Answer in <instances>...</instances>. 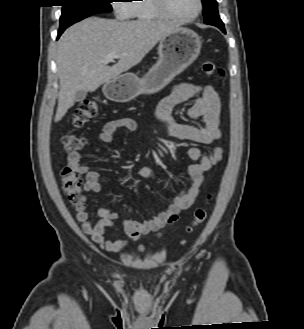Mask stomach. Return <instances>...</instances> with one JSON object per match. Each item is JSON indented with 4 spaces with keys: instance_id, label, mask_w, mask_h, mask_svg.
<instances>
[{
    "instance_id": "1",
    "label": "stomach",
    "mask_w": 304,
    "mask_h": 329,
    "mask_svg": "<svg viewBox=\"0 0 304 329\" xmlns=\"http://www.w3.org/2000/svg\"><path fill=\"white\" fill-rule=\"evenodd\" d=\"M200 49L199 35L178 27L160 40L159 59L143 78L133 73L120 75L104 84L103 93L109 100L124 103L158 92L197 59Z\"/></svg>"
}]
</instances>
